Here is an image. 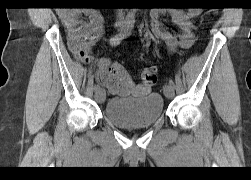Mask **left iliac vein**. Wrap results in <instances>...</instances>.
<instances>
[{
  "instance_id": "left-iliac-vein-1",
  "label": "left iliac vein",
  "mask_w": 251,
  "mask_h": 180,
  "mask_svg": "<svg viewBox=\"0 0 251 180\" xmlns=\"http://www.w3.org/2000/svg\"><path fill=\"white\" fill-rule=\"evenodd\" d=\"M164 94L167 98H173L174 97V87L170 84H166L164 86Z\"/></svg>"
}]
</instances>
